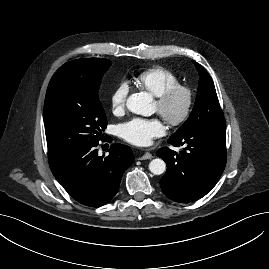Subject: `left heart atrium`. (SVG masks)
<instances>
[{
    "mask_svg": "<svg viewBox=\"0 0 269 269\" xmlns=\"http://www.w3.org/2000/svg\"><path fill=\"white\" fill-rule=\"evenodd\" d=\"M164 132L161 120L154 118L134 117L118 126V135L134 145H148Z\"/></svg>",
    "mask_w": 269,
    "mask_h": 269,
    "instance_id": "1",
    "label": "left heart atrium"
}]
</instances>
